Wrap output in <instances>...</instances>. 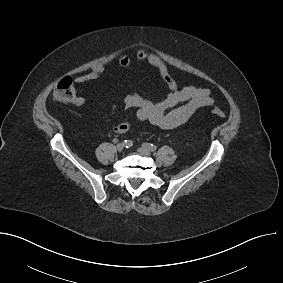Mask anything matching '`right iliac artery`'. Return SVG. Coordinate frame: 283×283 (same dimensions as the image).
Segmentation results:
<instances>
[{"mask_svg": "<svg viewBox=\"0 0 283 283\" xmlns=\"http://www.w3.org/2000/svg\"><path fill=\"white\" fill-rule=\"evenodd\" d=\"M124 146L131 147L133 145V142L131 140H124L123 141Z\"/></svg>", "mask_w": 283, "mask_h": 283, "instance_id": "right-iliac-artery-1", "label": "right iliac artery"}]
</instances>
